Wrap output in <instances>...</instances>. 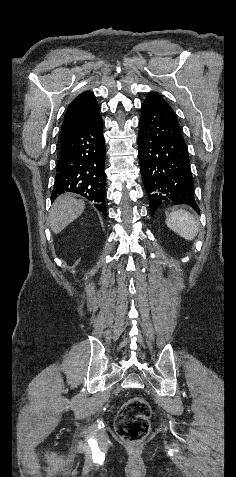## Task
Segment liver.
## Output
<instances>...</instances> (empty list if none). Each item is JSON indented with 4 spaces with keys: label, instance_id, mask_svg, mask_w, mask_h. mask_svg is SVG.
Wrapping results in <instances>:
<instances>
[{
    "label": "liver",
    "instance_id": "6515ba94",
    "mask_svg": "<svg viewBox=\"0 0 236 477\" xmlns=\"http://www.w3.org/2000/svg\"><path fill=\"white\" fill-rule=\"evenodd\" d=\"M84 201L75 199L70 194L59 196L52 205L50 212L51 230L58 234L84 211Z\"/></svg>",
    "mask_w": 236,
    "mask_h": 477
}]
</instances>
